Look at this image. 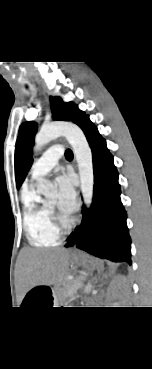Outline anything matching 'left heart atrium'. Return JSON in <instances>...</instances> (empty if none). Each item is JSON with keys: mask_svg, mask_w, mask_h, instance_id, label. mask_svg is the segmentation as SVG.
Listing matches in <instances>:
<instances>
[{"mask_svg": "<svg viewBox=\"0 0 152 369\" xmlns=\"http://www.w3.org/2000/svg\"><path fill=\"white\" fill-rule=\"evenodd\" d=\"M56 183L59 190V209L65 216H70L78 206L73 180L68 175H61Z\"/></svg>", "mask_w": 152, "mask_h": 369, "instance_id": "obj_1", "label": "left heart atrium"}]
</instances>
